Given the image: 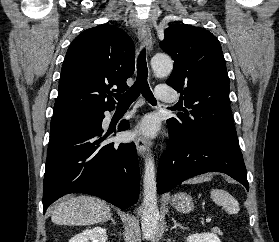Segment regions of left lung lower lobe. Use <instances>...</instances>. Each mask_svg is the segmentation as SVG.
Returning <instances> with one entry per match:
<instances>
[{
    "label": "left lung lower lobe",
    "instance_id": "0a47b994",
    "mask_svg": "<svg viewBox=\"0 0 279 242\" xmlns=\"http://www.w3.org/2000/svg\"><path fill=\"white\" fill-rule=\"evenodd\" d=\"M170 140L157 171V192L165 193L193 176L222 172L248 190L247 172L239 148L213 140L187 143L169 128Z\"/></svg>",
    "mask_w": 279,
    "mask_h": 242
}]
</instances>
